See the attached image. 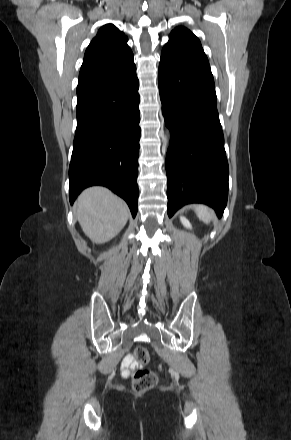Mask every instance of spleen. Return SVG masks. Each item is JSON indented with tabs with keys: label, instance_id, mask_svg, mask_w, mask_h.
<instances>
[{
	"label": "spleen",
	"instance_id": "obj_1",
	"mask_svg": "<svg viewBox=\"0 0 291 440\" xmlns=\"http://www.w3.org/2000/svg\"><path fill=\"white\" fill-rule=\"evenodd\" d=\"M195 212L200 220L208 224L213 217V211L205 205H196Z\"/></svg>",
	"mask_w": 291,
	"mask_h": 440
}]
</instances>
